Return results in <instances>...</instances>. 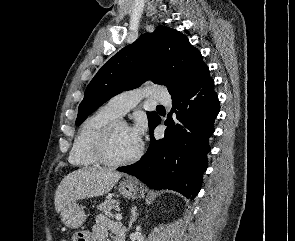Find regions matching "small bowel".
I'll list each match as a JSON object with an SVG mask.
<instances>
[{"label": "small bowel", "mask_w": 295, "mask_h": 241, "mask_svg": "<svg viewBox=\"0 0 295 241\" xmlns=\"http://www.w3.org/2000/svg\"><path fill=\"white\" fill-rule=\"evenodd\" d=\"M86 241H107L110 234L114 235V241H125L124 227L104 214L96 216L92 231H84Z\"/></svg>", "instance_id": "c3829d8e"}]
</instances>
